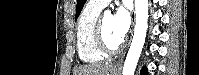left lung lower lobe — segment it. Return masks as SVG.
<instances>
[{
    "label": "left lung lower lobe",
    "mask_w": 199,
    "mask_h": 75,
    "mask_svg": "<svg viewBox=\"0 0 199 75\" xmlns=\"http://www.w3.org/2000/svg\"><path fill=\"white\" fill-rule=\"evenodd\" d=\"M141 75H147V70H146V68H143V69L141 70Z\"/></svg>",
    "instance_id": "left-lung-lower-lobe-1"
}]
</instances>
